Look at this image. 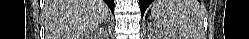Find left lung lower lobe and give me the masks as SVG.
<instances>
[{"mask_svg":"<svg viewBox=\"0 0 249 39\" xmlns=\"http://www.w3.org/2000/svg\"><path fill=\"white\" fill-rule=\"evenodd\" d=\"M153 0H140L141 15L143 16L145 10Z\"/></svg>","mask_w":249,"mask_h":39,"instance_id":"obj_1","label":"left lung lower lobe"}]
</instances>
